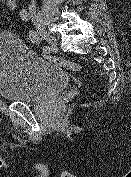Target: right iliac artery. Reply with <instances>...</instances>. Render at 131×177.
I'll return each instance as SVG.
<instances>
[{
	"label": "right iliac artery",
	"mask_w": 131,
	"mask_h": 177,
	"mask_svg": "<svg viewBox=\"0 0 131 177\" xmlns=\"http://www.w3.org/2000/svg\"><path fill=\"white\" fill-rule=\"evenodd\" d=\"M20 17L25 22L29 21L28 11L26 9H22L20 11ZM29 38H30L32 43H35V44H40L41 43V38L39 37L38 33L36 31H34L33 29H31L29 31ZM43 51L46 52V53L50 52V47L48 45L43 46Z\"/></svg>",
	"instance_id": "82829eb1"
}]
</instances>
